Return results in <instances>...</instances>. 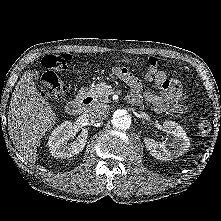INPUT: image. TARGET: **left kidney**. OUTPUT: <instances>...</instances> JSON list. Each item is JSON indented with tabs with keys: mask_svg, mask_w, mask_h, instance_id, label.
I'll return each instance as SVG.
<instances>
[{
	"mask_svg": "<svg viewBox=\"0 0 221 221\" xmlns=\"http://www.w3.org/2000/svg\"><path fill=\"white\" fill-rule=\"evenodd\" d=\"M164 129L171 134V137L163 142H156L154 139L145 138L144 143L150 154L159 160H172L184 154L190 147V140L183 128L174 121H165Z\"/></svg>",
	"mask_w": 221,
	"mask_h": 221,
	"instance_id": "5707ae66",
	"label": "left kidney"
}]
</instances>
